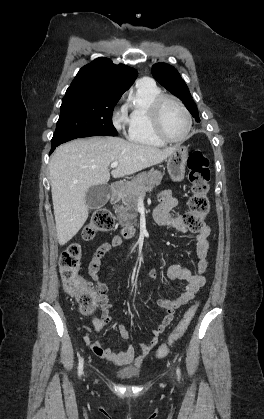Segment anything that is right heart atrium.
<instances>
[{
	"label": "right heart atrium",
	"mask_w": 264,
	"mask_h": 419,
	"mask_svg": "<svg viewBox=\"0 0 264 419\" xmlns=\"http://www.w3.org/2000/svg\"><path fill=\"white\" fill-rule=\"evenodd\" d=\"M128 123V118L126 113L117 112L113 116V124L117 130H122L125 125Z\"/></svg>",
	"instance_id": "obj_1"
}]
</instances>
